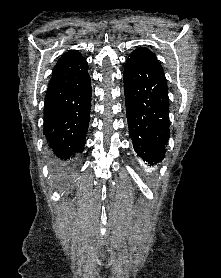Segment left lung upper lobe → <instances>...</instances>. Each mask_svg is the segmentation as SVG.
<instances>
[{
	"instance_id": "left-lung-upper-lobe-1",
	"label": "left lung upper lobe",
	"mask_w": 221,
	"mask_h": 278,
	"mask_svg": "<svg viewBox=\"0 0 221 278\" xmlns=\"http://www.w3.org/2000/svg\"><path fill=\"white\" fill-rule=\"evenodd\" d=\"M146 60L158 61L155 54L145 47L135 49L127 59V61L134 63H142Z\"/></svg>"
}]
</instances>
